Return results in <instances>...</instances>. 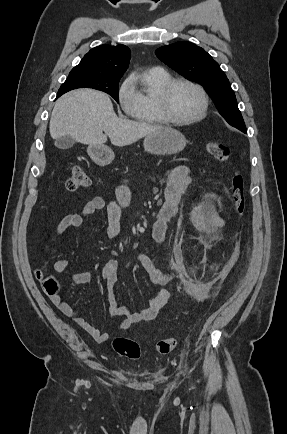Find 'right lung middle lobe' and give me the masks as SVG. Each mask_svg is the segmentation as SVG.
<instances>
[{
	"label": "right lung middle lobe",
	"mask_w": 287,
	"mask_h": 434,
	"mask_svg": "<svg viewBox=\"0 0 287 434\" xmlns=\"http://www.w3.org/2000/svg\"><path fill=\"white\" fill-rule=\"evenodd\" d=\"M120 78L111 79L101 76H91L80 74L76 72H70L66 81L61 85L57 97L62 94L77 88H93L111 95L117 102L118 97V83Z\"/></svg>",
	"instance_id": "dd1d6c3e"
}]
</instances>
